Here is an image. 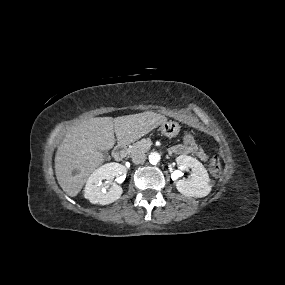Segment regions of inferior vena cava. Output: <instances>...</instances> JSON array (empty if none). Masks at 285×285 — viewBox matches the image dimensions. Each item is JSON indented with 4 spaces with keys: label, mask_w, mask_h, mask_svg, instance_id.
<instances>
[{
    "label": "inferior vena cava",
    "mask_w": 285,
    "mask_h": 285,
    "mask_svg": "<svg viewBox=\"0 0 285 285\" xmlns=\"http://www.w3.org/2000/svg\"><path fill=\"white\" fill-rule=\"evenodd\" d=\"M145 160H146V155H145V154H141V153L135 154V155L132 157V162H133L134 164H141V163H143Z\"/></svg>",
    "instance_id": "obj_1"
}]
</instances>
